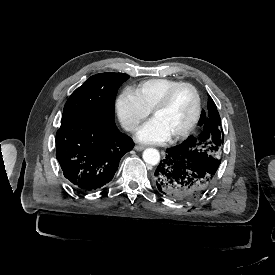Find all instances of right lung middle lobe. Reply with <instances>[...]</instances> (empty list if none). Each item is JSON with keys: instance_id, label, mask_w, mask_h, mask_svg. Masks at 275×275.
<instances>
[{"instance_id": "dd1d6c3e", "label": "right lung middle lobe", "mask_w": 275, "mask_h": 275, "mask_svg": "<svg viewBox=\"0 0 275 275\" xmlns=\"http://www.w3.org/2000/svg\"><path fill=\"white\" fill-rule=\"evenodd\" d=\"M129 76L124 73H100L91 76L67 100L63 118L82 117L102 126L115 125L114 105L118 88Z\"/></svg>"}]
</instances>
